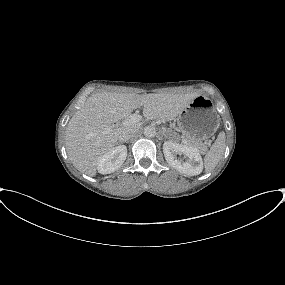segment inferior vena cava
<instances>
[{"instance_id":"obj_1","label":"inferior vena cava","mask_w":285,"mask_h":285,"mask_svg":"<svg viewBox=\"0 0 285 285\" xmlns=\"http://www.w3.org/2000/svg\"><path fill=\"white\" fill-rule=\"evenodd\" d=\"M137 130L129 127L122 128L118 134V140L120 142H127Z\"/></svg>"}]
</instances>
